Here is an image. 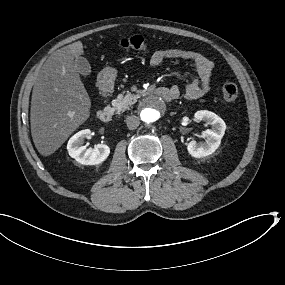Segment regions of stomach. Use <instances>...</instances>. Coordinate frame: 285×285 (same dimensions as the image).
<instances>
[{"mask_svg": "<svg viewBox=\"0 0 285 285\" xmlns=\"http://www.w3.org/2000/svg\"><path fill=\"white\" fill-rule=\"evenodd\" d=\"M117 72L114 69H109L108 71L104 72L103 75L98 76V80L104 85L107 86V83H113L116 79Z\"/></svg>", "mask_w": 285, "mask_h": 285, "instance_id": "stomach-1", "label": "stomach"}]
</instances>
